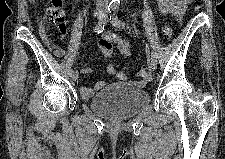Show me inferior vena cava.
<instances>
[{
	"mask_svg": "<svg viewBox=\"0 0 225 159\" xmlns=\"http://www.w3.org/2000/svg\"><path fill=\"white\" fill-rule=\"evenodd\" d=\"M108 0H97L96 1V4H97V6H100V7H102V6H108Z\"/></svg>",
	"mask_w": 225,
	"mask_h": 159,
	"instance_id": "1",
	"label": "inferior vena cava"
}]
</instances>
